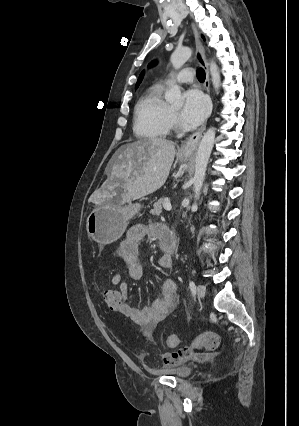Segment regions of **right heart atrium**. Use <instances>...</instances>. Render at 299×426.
Returning a JSON list of instances; mask_svg holds the SVG:
<instances>
[{
	"instance_id": "right-heart-atrium-1",
	"label": "right heart atrium",
	"mask_w": 299,
	"mask_h": 426,
	"mask_svg": "<svg viewBox=\"0 0 299 426\" xmlns=\"http://www.w3.org/2000/svg\"><path fill=\"white\" fill-rule=\"evenodd\" d=\"M171 125L172 126L178 125V118H177V116L175 114L171 115Z\"/></svg>"
}]
</instances>
